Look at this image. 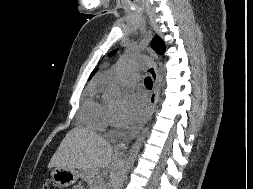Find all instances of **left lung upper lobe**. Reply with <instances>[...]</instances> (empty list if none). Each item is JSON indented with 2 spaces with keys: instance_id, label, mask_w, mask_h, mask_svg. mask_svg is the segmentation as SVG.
<instances>
[{
  "instance_id": "1",
  "label": "left lung upper lobe",
  "mask_w": 253,
  "mask_h": 189,
  "mask_svg": "<svg viewBox=\"0 0 253 189\" xmlns=\"http://www.w3.org/2000/svg\"><path fill=\"white\" fill-rule=\"evenodd\" d=\"M152 48L159 54H162L165 50V45H164V42L158 38V37H155L153 40H152ZM116 51H113L111 53V55L115 54Z\"/></svg>"
}]
</instances>
